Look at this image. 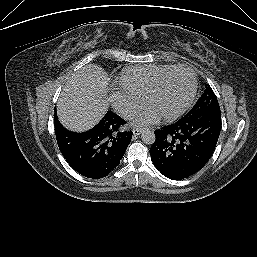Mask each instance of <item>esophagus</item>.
Listing matches in <instances>:
<instances>
[{
	"mask_svg": "<svg viewBox=\"0 0 257 257\" xmlns=\"http://www.w3.org/2000/svg\"><path fill=\"white\" fill-rule=\"evenodd\" d=\"M142 133V129H139V128H134L133 129V134L134 135H140Z\"/></svg>",
	"mask_w": 257,
	"mask_h": 257,
	"instance_id": "1",
	"label": "esophagus"
}]
</instances>
